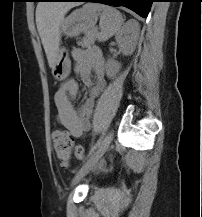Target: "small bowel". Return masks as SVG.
Here are the masks:
<instances>
[{
    "label": "small bowel",
    "instance_id": "obj_1",
    "mask_svg": "<svg viewBox=\"0 0 202 217\" xmlns=\"http://www.w3.org/2000/svg\"><path fill=\"white\" fill-rule=\"evenodd\" d=\"M75 71L85 85L89 87V94L79 110L74 106V98L78 93L77 81L73 78L62 83L54 94L57 107V120L74 138L82 137L90 128V119L95 102L106 87L104 79V59L99 50H74ZM95 73V80L91 79V72Z\"/></svg>",
    "mask_w": 202,
    "mask_h": 217
}]
</instances>
